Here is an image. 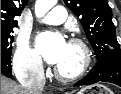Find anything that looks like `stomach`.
I'll return each instance as SVG.
<instances>
[{"mask_svg":"<svg viewBox=\"0 0 121 94\" xmlns=\"http://www.w3.org/2000/svg\"><path fill=\"white\" fill-rule=\"evenodd\" d=\"M78 94H114L109 88L102 84H95L84 88Z\"/></svg>","mask_w":121,"mask_h":94,"instance_id":"obj_1","label":"stomach"}]
</instances>
